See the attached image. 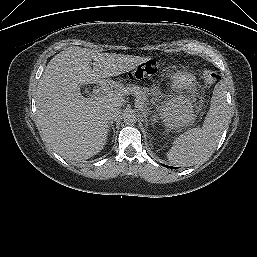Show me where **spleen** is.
I'll return each mask as SVG.
<instances>
[{
    "label": "spleen",
    "mask_w": 257,
    "mask_h": 257,
    "mask_svg": "<svg viewBox=\"0 0 257 257\" xmlns=\"http://www.w3.org/2000/svg\"><path fill=\"white\" fill-rule=\"evenodd\" d=\"M227 119L226 91L222 84H218L203 126L189 129L176 137L167 153L168 161L179 166H193L207 161L220 141Z\"/></svg>",
    "instance_id": "spleen-1"
}]
</instances>
